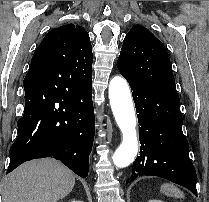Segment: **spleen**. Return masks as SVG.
<instances>
[{
    "label": "spleen",
    "instance_id": "obj_1",
    "mask_svg": "<svg viewBox=\"0 0 209 202\" xmlns=\"http://www.w3.org/2000/svg\"><path fill=\"white\" fill-rule=\"evenodd\" d=\"M161 192L169 197L184 198L183 192L180 189H178L175 185L170 183H164L161 186Z\"/></svg>",
    "mask_w": 209,
    "mask_h": 202
}]
</instances>
